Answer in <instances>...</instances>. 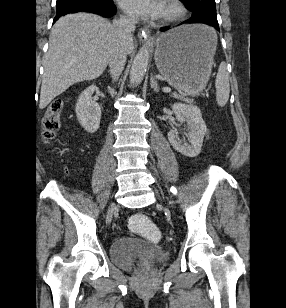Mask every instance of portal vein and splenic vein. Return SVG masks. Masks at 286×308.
Masks as SVG:
<instances>
[{"label":"portal vein and splenic vein","instance_id":"obj_1","mask_svg":"<svg viewBox=\"0 0 286 308\" xmlns=\"http://www.w3.org/2000/svg\"><path fill=\"white\" fill-rule=\"evenodd\" d=\"M162 90H163V92H168V91L171 90V88H169V87H164Z\"/></svg>","mask_w":286,"mask_h":308}]
</instances>
